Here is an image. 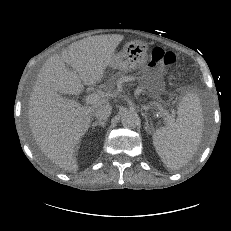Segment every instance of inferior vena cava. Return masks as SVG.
Wrapping results in <instances>:
<instances>
[{
	"label": "inferior vena cava",
	"mask_w": 231,
	"mask_h": 231,
	"mask_svg": "<svg viewBox=\"0 0 231 231\" xmlns=\"http://www.w3.org/2000/svg\"><path fill=\"white\" fill-rule=\"evenodd\" d=\"M112 111V107L109 104H104L100 107H98L95 112H94V116L98 119V120H107V118L109 117V115L111 114Z\"/></svg>",
	"instance_id": "1"
}]
</instances>
